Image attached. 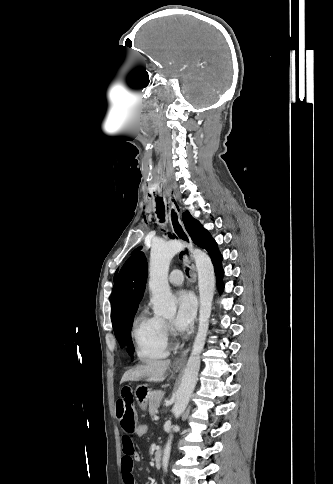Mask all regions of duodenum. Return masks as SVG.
Instances as JSON below:
<instances>
[{
	"label": "duodenum",
	"instance_id": "410a0bca",
	"mask_svg": "<svg viewBox=\"0 0 333 484\" xmlns=\"http://www.w3.org/2000/svg\"><path fill=\"white\" fill-rule=\"evenodd\" d=\"M154 465L157 469L161 467V461H162V450L161 448H157L154 452Z\"/></svg>",
	"mask_w": 333,
	"mask_h": 484
}]
</instances>
